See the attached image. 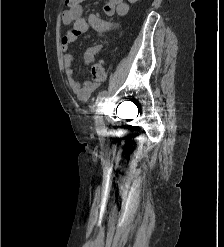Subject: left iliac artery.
I'll list each match as a JSON object with an SVG mask.
<instances>
[{
  "mask_svg": "<svg viewBox=\"0 0 224 247\" xmlns=\"http://www.w3.org/2000/svg\"><path fill=\"white\" fill-rule=\"evenodd\" d=\"M106 94H107L106 90L101 91L97 96V103L100 104V102L105 98Z\"/></svg>",
  "mask_w": 224,
  "mask_h": 247,
  "instance_id": "44dca946",
  "label": "left iliac artery"
}]
</instances>
